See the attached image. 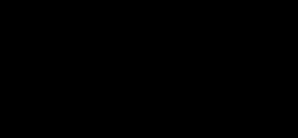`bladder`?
I'll return each mask as SVG.
<instances>
[{
    "label": "bladder",
    "mask_w": 298,
    "mask_h": 138,
    "mask_svg": "<svg viewBox=\"0 0 298 138\" xmlns=\"http://www.w3.org/2000/svg\"><path fill=\"white\" fill-rule=\"evenodd\" d=\"M172 35V27L163 20L142 24L137 31V41L143 58L151 64L163 61Z\"/></svg>",
    "instance_id": "bladder-1"
}]
</instances>
